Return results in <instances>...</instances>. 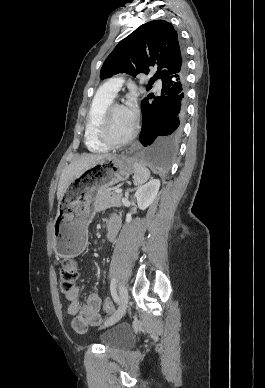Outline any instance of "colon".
<instances>
[{
    "instance_id": "colon-1",
    "label": "colon",
    "mask_w": 265,
    "mask_h": 388,
    "mask_svg": "<svg viewBox=\"0 0 265 388\" xmlns=\"http://www.w3.org/2000/svg\"><path fill=\"white\" fill-rule=\"evenodd\" d=\"M78 279V263L75 259H65L59 273V287L63 293L71 291ZM102 308L105 314L113 310L112 303L109 299L102 301Z\"/></svg>"
}]
</instances>
